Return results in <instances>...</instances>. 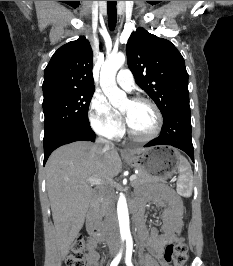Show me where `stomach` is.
Masks as SVG:
<instances>
[{
	"mask_svg": "<svg viewBox=\"0 0 233 266\" xmlns=\"http://www.w3.org/2000/svg\"><path fill=\"white\" fill-rule=\"evenodd\" d=\"M177 152L178 147H151L140 153L132 151L124 158L136 169L158 176V180H170L174 169L181 166L182 156Z\"/></svg>",
	"mask_w": 233,
	"mask_h": 266,
	"instance_id": "1",
	"label": "stomach"
}]
</instances>
